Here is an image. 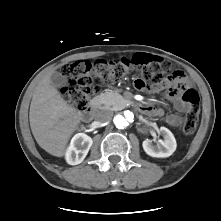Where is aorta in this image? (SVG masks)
I'll return each instance as SVG.
<instances>
[{
    "mask_svg": "<svg viewBox=\"0 0 221 221\" xmlns=\"http://www.w3.org/2000/svg\"><path fill=\"white\" fill-rule=\"evenodd\" d=\"M134 113L131 110H126L122 114H118L114 118V124L117 128L123 129L134 121Z\"/></svg>",
    "mask_w": 221,
    "mask_h": 221,
    "instance_id": "aorta-1",
    "label": "aorta"
}]
</instances>
